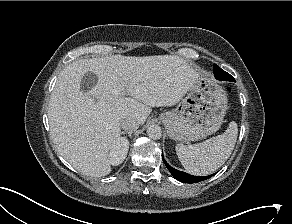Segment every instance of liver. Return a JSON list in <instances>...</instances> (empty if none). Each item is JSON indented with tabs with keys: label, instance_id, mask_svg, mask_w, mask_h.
<instances>
[{
	"label": "liver",
	"instance_id": "liver-1",
	"mask_svg": "<svg viewBox=\"0 0 292 224\" xmlns=\"http://www.w3.org/2000/svg\"><path fill=\"white\" fill-rule=\"evenodd\" d=\"M89 72L97 81L84 92L81 86ZM199 75L177 55H115L72 62L59 74L49 102L57 151L86 176L108 175L109 152L121 135L119 120L131 117L143 125L151 107L177 104Z\"/></svg>",
	"mask_w": 292,
	"mask_h": 224
}]
</instances>
